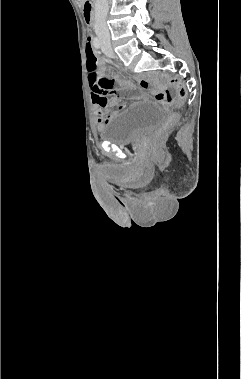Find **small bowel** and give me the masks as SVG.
<instances>
[{"label":"small bowel","instance_id":"1","mask_svg":"<svg viewBox=\"0 0 241 379\" xmlns=\"http://www.w3.org/2000/svg\"><path fill=\"white\" fill-rule=\"evenodd\" d=\"M91 42L90 37L87 39ZM92 45V44H91ZM102 80H109L103 76H99ZM118 85V89L116 91L123 92L125 96L130 95L134 89L135 84L133 81H122L119 77L114 78V80H110ZM91 82H89L90 84ZM142 88H148L149 82L145 79H141L139 81ZM92 90V101L94 105V110L97 118V122L99 126L105 124L110 119L113 110L110 107L116 106V109L124 108L123 105H118V101L116 98L108 99L107 94L113 93V91H109L104 95L98 94L94 89Z\"/></svg>","mask_w":241,"mask_h":379}]
</instances>
